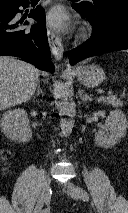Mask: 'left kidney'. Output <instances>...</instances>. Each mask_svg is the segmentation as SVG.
<instances>
[{"mask_svg": "<svg viewBox=\"0 0 128 213\" xmlns=\"http://www.w3.org/2000/svg\"><path fill=\"white\" fill-rule=\"evenodd\" d=\"M128 122L122 111H111L104 127L95 134L96 144L103 148L114 147L126 134Z\"/></svg>", "mask_w": 128, "mask_h": 213, "instance_id": "obj_1", "label": "left kidney"}]
</instances>
